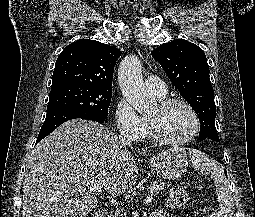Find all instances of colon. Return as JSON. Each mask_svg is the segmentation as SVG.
Listing matches in <instances>:
<instances>
[{"label":"colon","mask_w":255,"mask_h":217,"mask_svg":"<svg viewBox=\"0 0 255 217\" xmlns=\"http://www.w3.org/2000/svg\"><path fill=\"white\" fill-rule=\"evenodd\" d=\"M188 195L185 189L180 185H174L169 194V201L171 206L180 208L186 204Z\"/></svg>","instance_id":"obj_1"}]
</instances>
